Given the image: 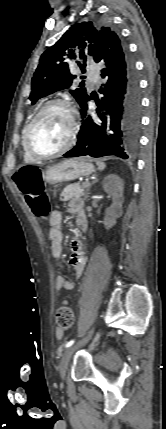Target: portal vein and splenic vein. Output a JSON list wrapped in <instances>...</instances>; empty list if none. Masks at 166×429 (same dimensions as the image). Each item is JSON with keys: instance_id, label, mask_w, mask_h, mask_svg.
Wrapping results in <instances>:
<instances>
[{"instance_id": "portal-vein-and-splenic-vein-1", "label": "portal vein and splenic vein", "mask_w": 166, "mask_h": 429, "mask_svg": "<svg viewBox=\"0 0 166 429\" xmlns=\"http://www.w3.org/2000/svg\"><path fill=\"white\" fill-rule=\"evenodd\" d=\"M86 184H87V182L83 183V185H86Z\"/></svg>"}]
</instances>
